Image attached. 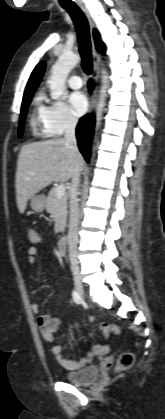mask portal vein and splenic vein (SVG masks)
Masks as SVG:
<instances>
[{"label": "portal vein and splenic vein", "instance_id": "1", "mask_svg": "<svg viewBox=\"0 0 165 419\" xmlns=\"http://www.w3.org/2000/svg\"><path fill=\"white\" fill-rule=\"evenodd\" d=\"M65 186L63 184H60L56 187V195L58 198L63 196L65 194Z\"/></svg>", "mask_w": 165, "mask_h": 419}]
</instances>
